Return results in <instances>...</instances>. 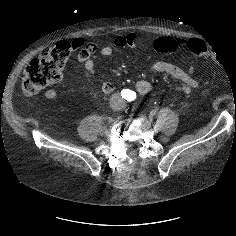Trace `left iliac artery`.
<instances>
[{
	"instance_id": "44dca946",
	"label": "left iliac artery",
	"mask_w": 236,
	"mask_h": 236,
	"mask_svg": "<svg viewBox=\"0 0 236 236\" xmlns=\"http://www.w3.org/2000/svg\"><path fill=\"white\" fill-rule=\"evenodd\" d=\"M136 98V93L135 92H132L131 95H130V99L131 100H134Z\"/></svg>"
}]
</instances>
